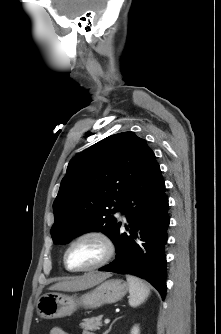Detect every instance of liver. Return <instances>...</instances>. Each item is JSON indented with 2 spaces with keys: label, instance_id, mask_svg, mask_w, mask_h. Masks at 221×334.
Instances as JSON below:
<instances>
[{
  "label": "liver",
  "instance_id": "liver-1",
  "mask_svg": "<svg viewBox=\"0 0 221 334\" xmlns=\"http://www.w3.org/2000/svg\"><path fill=\"white\" fill-rule=\"evenodd\" d=\"M109 273L90 272L83 276L73 278L68 281L56 283L49 287L50 290L58 291H80L91 288L105 279L109 278Z\"/></svg>",
  "mask_w": 221,
  "mask_h": 334
}]
</instances>
